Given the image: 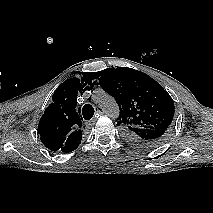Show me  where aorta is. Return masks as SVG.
I'll list each match as a JSON object with an SVG mask.
<instances>
[{"label":"aorta","instance_id":"762f6f07","mask_svg":"<svg viewBox=\"0 0 213 213\" xmlns=\"http://www.w3.org/2000/svg\"><path fill=\"white\" fill-rule=\"evenodd\" d=\"M95 101L101 106L103 111L111 118L115 119L119 115V107L116 101L104 91H98Z\"/></svg>","mask_w":213,"mask_h":213}]
</instances>
